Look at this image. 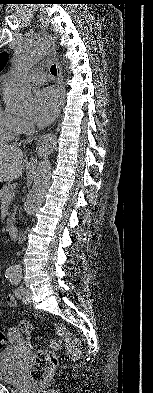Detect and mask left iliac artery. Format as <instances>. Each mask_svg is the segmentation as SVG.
<instances>
[{
  "mask_svg": "<svg viewBox=\"0 0 153 393\" xmlns=\"http://www.w3.org/2000/svg\"><path fill=\"white\" fill-rule=\"evenodd\" d=\"M5 276H6V278L9 279V281L12 284H14L16 286H18L20 284L21 278H22L21 275L15 274V273H12V272L7 274V275H5ZM21 291H22V286H20L17 289H15V295H17L19 297V294L21 293Z\"/></svg>",
  "mask_w": 153,
  "mask_h": 393,
  "instance_id": "obj_1",
  "label": "left iliac artery"
}]
</instances>
